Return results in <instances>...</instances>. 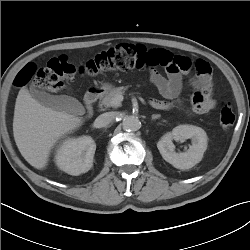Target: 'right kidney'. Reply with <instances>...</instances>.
Segmentation results:
<instances>
[{
    "mask_svg": "<svg viewBox=\"0 0 250 250\" xmlns=\"http://www.w3.org/2000/svg\"><path fill=\"white\" fill-rule=\"evenodd\" d=\"M96 144L90 136L65 140L58 148L55 163L58 168L70 175H80L90 170Z\"/></svg>",
    "mask_w": 250,
    "mask_h": 250,
    "instance_id": "obj_1",
    "label": "right kidney"
}]
</instances>
